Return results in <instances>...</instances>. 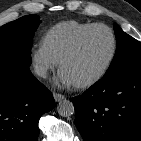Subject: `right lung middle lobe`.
<instances>
[{"label": "right lung middle lobe", "mask_w": 141, "mask_h": 141, "mask_svg": "<svg viewBox=\"0 0 141 141\" xmlns=\"http://www.w3.org/2000/svg\"><path fill=\"white\" fill-rule=\"evenodd\" d=\"M39 16L27 15L0 27V67L30 66L31 45Z\"/></svg>", "instance_id": "right-lung-middle-lobe-1"}]
</instances>
